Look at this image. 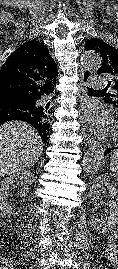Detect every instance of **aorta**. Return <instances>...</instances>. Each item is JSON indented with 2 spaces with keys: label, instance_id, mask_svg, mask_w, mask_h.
<instances>
[{
  "label": "aorta",
  "instance_id": "1",
  "mask_svg": "<svg viewBox=\"0 0 118 269\" xmlns=\"http://www.w3.org/2000/svg\"><path fill=\"white\" fill-rule=\"evenodd\" d=\"M82 64L89 68H98L102 64L101 57L92 51L85 52L81 57ZM104 161V148L99 144H93L86 152L82 160V169L86 173L97 172Z\"/></svg>",
  "mask_w": 118,
  "mask_h": 269
}]
</instances>
